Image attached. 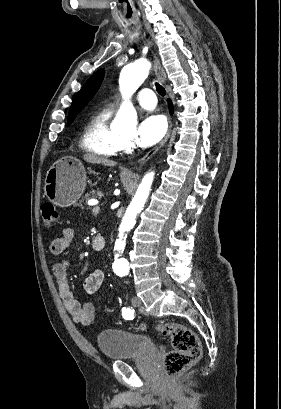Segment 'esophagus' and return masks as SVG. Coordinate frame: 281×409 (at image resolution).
<instances>
[{"label": "esophagus", "instance_id": "obj_1", "mask_svg": "<svg viewBox=\"0 0 281 409\" xmlns=\"http://www.w3.org/2000/svg\"><path fill=\"white\" fill-rule=\"evenodd\" d=\"M154 71L155 74L157 76V78L160 80V82L165 83L166 82V74L160 64V61L158 59V57L156 55H154ZM171 127L172 125H170L168 132L164 138V140L154 149L150 150L149 152H147V154L141 159L139 160V165L144 164L145 162H147V160L152 157L153 154H155V152H157V150H159V148H161L168 140L170 133H171Z\"/></svg>", "mask_w": 281, "mask_h": 409}]
</instances>
